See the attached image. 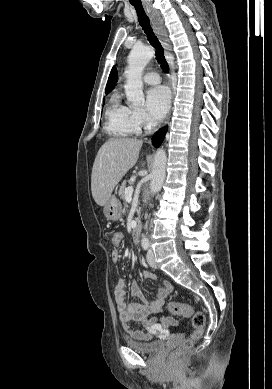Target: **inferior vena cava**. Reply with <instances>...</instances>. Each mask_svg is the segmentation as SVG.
I'll list each match as a JSON object with an SVG mask.
<instances>
[{"mask_svg":"<svg viewBox=\"0 0 272 389\" xmlns=\"http://www.w3.org/2000/svg\"><path fill=\"white\" fill-rule=\"evenodd\" d=\"M156 125H157V122H152L151 123V127H156Z\"/></svg>","mask_w":272,"mask_h":389,"instance_id":"602c4592","label":"inferior vena cava"}]
</instances>
